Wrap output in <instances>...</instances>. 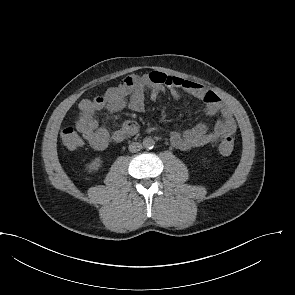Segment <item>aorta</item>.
I'll list each match as a JSON object with an SVG mask.
<instances>
[{
  "instance_id": "obj_1",
  "label": "aorta",
  "mask_w": 295,
  "mask_h": 295,
  "mask_svg": "<svg viewBox=\"0 0 295 295\" xmlns=\"http://www.w3.org/2000/svg\"><path fill=\"white\" fill-rule=\"evenodd\" d=\"M154 144L155 142L151 137H146L143 140V147L146 149H152L154 147Z\"/></svg>"
}]
</instances>
